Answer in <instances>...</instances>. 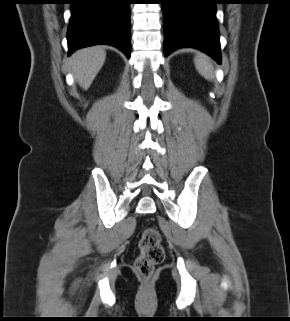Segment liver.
I'll return each mask as SVG.
<instances>
[{
    "mask_svg": "<svg viewBox=\"0 0 290 321\" xmlns=\"http://www.w3.org/2000/svg\"><path fill=\"white\" fill-rule=\"evenodd\" d=\"M105 59L106 52L101 46L79 49L72 55L70 60L72 72L84 90L90 87Z\"/></svg>",
    "mask_w": 290,
    "mask_h": 321,
    "instance_id": "liver-1",
    "label": "liver"
}]
</instances>
